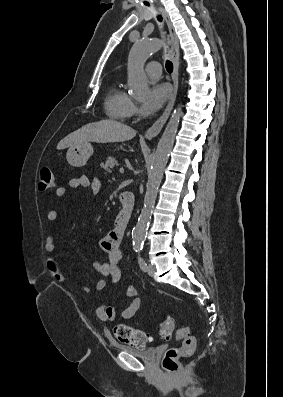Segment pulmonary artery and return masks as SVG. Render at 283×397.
Here are the masks:
<instances>
[{
	"mask_svg": "<svg viewBox=\"0 0 283 397\" xmlns=\"http://www.w3.org/2000/svg\"><path fill=\"white\" fill-rule=\"evenodd\" d=\"M146 73L151 78H154V79L158 78L161 75V65L158 62H156V61L150 62L146 66Z\"/></svg>",
	"mask_w": 283,
	"mask_h": 397,
	"instance_id": "obj_1",
	"label": "pulmonary artery"
}]
</instances>
